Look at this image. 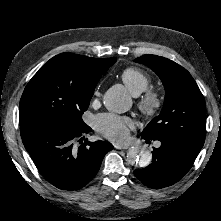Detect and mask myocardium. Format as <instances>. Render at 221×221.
I'll return each mask as SVG.
<instances>
[{"label": "myocardium", "mask_w": 221, "mask_h": 221, "mask_svg": "<svg viewBox=\"0 0 221 221\" xmlns=\"http://www.w3.org/2000/svg\"><path fill=\"white\" fill-rule=\"evenodd\" d=\"M162 105V97L155 90L146 91L138 102L140 112L147 118L156 116L160 112Z\"/></svg>", "instance_id": "myocardium-1"}]
</instances>
